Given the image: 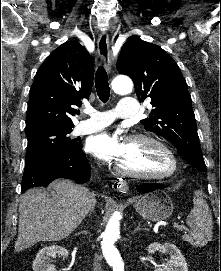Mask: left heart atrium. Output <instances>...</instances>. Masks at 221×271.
<instances>
[{
  "label": "left heart atrium",
  "instance_id": "obj_1",
  "mask_svg": "<svg viewBox=\"0 0 221 271\" xmlns=\"http://www.w3.org/2000/svg\"><path fill=\"white\" fill-rule=\"evenodd\" d=\"M119 134L106 131L92 136L87 144L89 152L100 154V157H134L130 148L123 147V142H118Z\"/></svg>",
  "mask_w": 221,
  "mask_h": 271
}]
</instances>
